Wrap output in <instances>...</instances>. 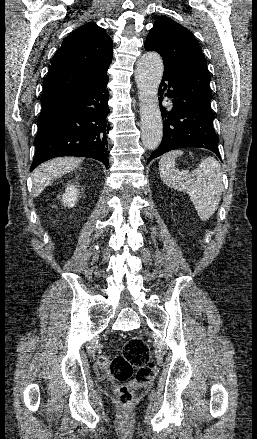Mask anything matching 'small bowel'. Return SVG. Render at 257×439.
<instances>
[{"instance_id": "small-bowel-1", "label": "small bowel", "mask_w": 257, "mask_h": 439, "mask_svg": "<svg viewBox=\"0 0 257 439\" xmlns=\"http://www.w3.org/2000/svg\"><path fill=\"white\" fill-rule=\"evenodd\" d=\"M105 363V359L102 358V362L100 364H104Z\"/></svg>"}]
</instances>
